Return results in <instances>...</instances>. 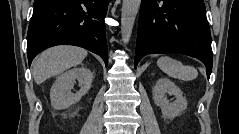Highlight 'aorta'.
Here are the masks:
<instances>
[{
  "label": "aorta",
  "mask_w": 239,
  "mask_h": 134,
  "mask_svg": "<svg viewBox=\"0 0 239 134\" xmlns=\"http://www.w3.org/2000/svg\"><path fill=\"white\" fill-rule=\"evenodd\" d=\"M140 4L141 0H123L121 9V35L125 44H127L131 38Z\"/></svg>",
  "instance_id": "aorta-1"
}]
</instances>
